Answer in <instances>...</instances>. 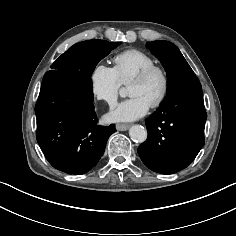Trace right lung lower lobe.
Segmentation results:
<instances>
[{"label":"right lung lower lobe","mask_w":236,"mask_h":236,"mask_svg":"<svg viewBox=\"0 0 236 236\" xmlns=\"http://www.w3.org/2000/svg\"><path fill=\"white\" fill-rule=\"evenodd\" d=\"M35 113L36 138L45 158L67 174L92 169L116 132L113 124L97 125L91 81L76 72L45 74Z\"/></svg>","instance_id":"1"}]
</instances>
